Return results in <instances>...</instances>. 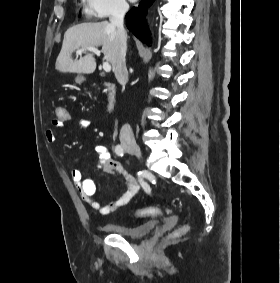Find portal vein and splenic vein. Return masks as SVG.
Listing matches in <instances>:
<instances>
[{"label": "portal vein and splenic vein", "mask_w": 280, "mask_h": 283, "mask_svg": "<svg viewBox=\"0 0 280 283\" xmlns=\"http://www.w3.org/2000/svg\"><path fill=\"white\" fill-rule=\"evenodd\" d=\"M84 50L91 51V52L95 53L97 56H100V51L97 48L91 47V46L79 49L77 52L81 53ZM103 69H104L105 72H110L111 71V65L109 64V62H104L103 63Z\"/></svg>", "instance_id": "18ae733b"}]
</instances>
